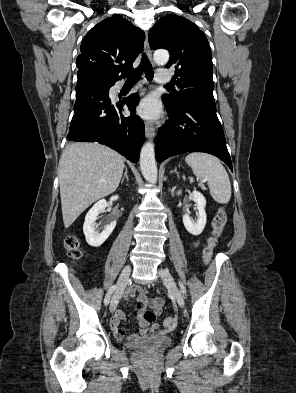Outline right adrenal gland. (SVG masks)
Here are the masks:
<instances>
[{"label": "right adrenal gland", "mask_w": 296, "mask_h": 393, "mask_svg": "<svg viewBox=\"0 0 296 393\" xmlns=\"http://www.w3.org/2000/svg\"><path fill=\"white\" fill-rule=\"evenodd\" d=\"M124 168H125V173H124V176H123V178H122V180H121V184H123L124 183V180L125 179H127V181L129 180V178H128V175H127V167H126V165L124 166Z\"/></svg>", "instance_id": "1"}]
</instances>
